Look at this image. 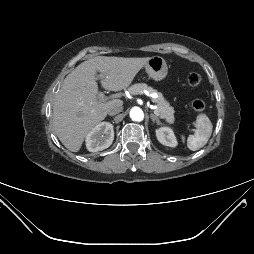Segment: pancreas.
<instances>
[{"mask_svg": "<svg viewBox=\"0 0 254 254\" xmlns=\"http://www.w3.org/2000/svg\"><path fill=\"white\" fill-rule=\"evenodd\" d=\"M143 91H148L150 94L155 93L156 90L147 86L145 83L134 84L129 88L130 94H139ZM153 101L157 104V111L162 119H165L169 123L174 122V108L164 99L161 93L158 94Z\"/></svg>", "mask_w": 254, "mask_h": 254, "instance_id": "cf45deb5", "label": "pancreas"}]
</instances>
